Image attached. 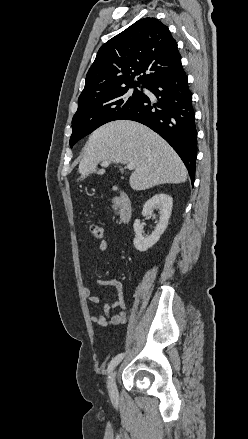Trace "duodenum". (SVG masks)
I'll list each match as a JSON object with an SVG mask.
<instances>
[{
	"label": "duodenum",
	"instance_id": "410a0bca",
	"mask_svg": "<svg viewBox=\"0 0 248 439\" xmlns=\"http://www.w3.org/2000/svg\"><path fill=\"white\" fill-rule=\"evenodd\" d=\"M115 209L122 223H128L132 218L131 198L127 192L117 188Z\"/></svg>",
	"mask_w": 248,
	"mask_h": 439
}]
</instances>
